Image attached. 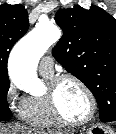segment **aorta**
<instances>
[{
	"label": "aorta",
	"mask_w": 116,
	"mask_h": 134,
	"mask_svg": "<svg viewBox=\"0 0 116 134\" xmlns=\"http://www.w3.org/2000/svg\"><path fill=\"white\" fill-rule=\"evenodd\" d=\"M61 37L59 28L49 22H39L13 48L9 59V76L20 89L35 94L42 86L36 67L42 55Z\"/></svg>",
	"instance_id": "aorta-1"
}]
</instances>
